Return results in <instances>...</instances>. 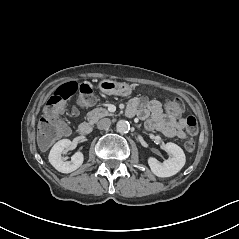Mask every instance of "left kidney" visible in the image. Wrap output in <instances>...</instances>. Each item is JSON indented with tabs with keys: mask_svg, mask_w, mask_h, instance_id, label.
Segmentation results:
<instances>
[{
	"mask_svg": "<svg viewBox=\"0 0 239 239\" xmlns=\"http://www.w3.org/2000/svg\"><path fill=\"white\" fill-rule=\"evenodd\" d=\"M165 151L172 155V158L160 163L156 158L150 157L148 164L151 171L158 177H170L178 173L186 162L183 150L175 143L169 142L165 145Z\"/></svg>",
	"mask_w": 239,
	"mask_h": 239,
	"instance_id": "1",
	"label": "left kidney"
}]
</instances>
